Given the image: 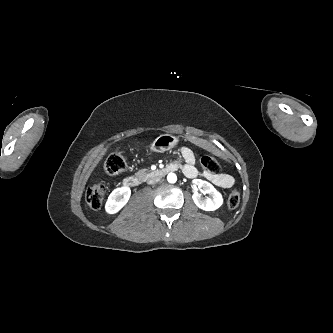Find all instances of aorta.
I'll use <instances>...</instances> for the list:
<instances>
[{"mask_svg": "<svg viewBox=\"0 0 333 333\" xmlns=\"http://www.w3.org/2000/svg\"><path fill=\"white\" fill-rule=\"evenodd\" d=\"M167 181L169 183H176L177 181V176L175 173H169L168 176H167Z\"/></svg>", "mask_w": 333, "mask_h": 333, "instance_id": "762f6f07", "label": "aorta"}]
</instances>
